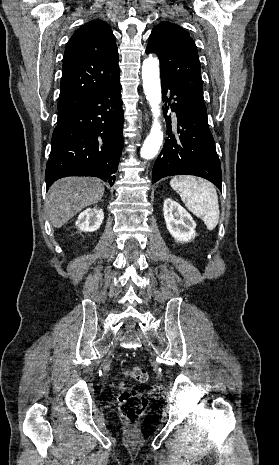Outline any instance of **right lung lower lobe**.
I'll return each instance as SVG.
<instances>
[{
    "label": "right lung lower lobe",
    "instance_id": "right-lung-lower-lobe-1",
    "mask_svg": "<svg viewBox=\"0 0 279 465\" xmlns=\"http://www.w3.org/2000/svg\"><path fill=\"white\" fill-rule=\"evenodd\" d=\"M119 80L57 121L46 166L47 189L66 176H94L114 184L124 143Z\"/></svg>",
    "mask_w": 279,
    "mask_h": 465
}]
</instances>
